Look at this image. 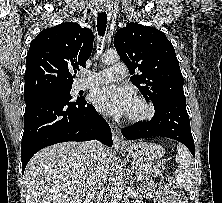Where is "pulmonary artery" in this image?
I'll use <instances>...</instances> for the list:
<instances>
[{"mask_svg":"<svg viewBox=\"0 0 222 203\" xmlns=\"http://www.w3.org/2000/svg\"><path fill=\"white\" fill-rule=\"evenodd\" d=\"M126 75V66L123 63H116L111 67L99 72H90L87 77L78 81V88L85 89L112 81L120 80Z\"/></svg>","mask_w":222,"mask_h":203,"instance_id":"pulmonary-artery-1","label":"pulmonary artery"}]
</instances>
